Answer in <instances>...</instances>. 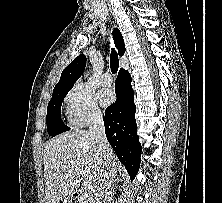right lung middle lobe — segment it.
<instances>
[{
  "label": "right lung middle lobe",
  "mask_w": 222,
  "mask_h": 203,
  "mask_svg": "<svg viewBox=\"0 0 222 203\" xmlns=\"http://www.w3.org/2000/svg\"><path fill=\"white\" fill-rule=\"evenodd\" d=\"M69 91L70 89L53 92L52 98L48 103L46 120L49 136L54 137L70 129L60 118L62 101Z\"/></svg>",
  "instance_id": "obj_1"
}]
</instances>
